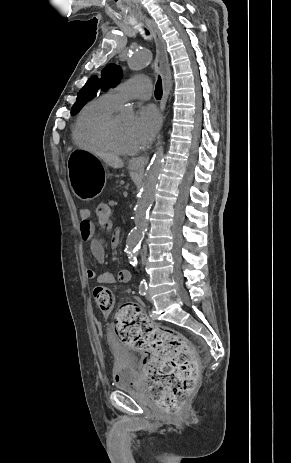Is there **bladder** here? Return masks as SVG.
<instances>
[{"mask_svg": "<svg viewBox=\"0 0 291 463\" xmlns=\"http://www.w3.org/2000/svg\"><path fill=\"white\" fill-rule=\"evenodd\" d=\"M114 381L118 389L134 388L137 375L134 370V359L130 355L119 353L115 358Z\"/></svg>", "mask_w": 291, "mask_h": 463, "instance_id": "31cf9c89", "label": "bladder"}]
</instances>
